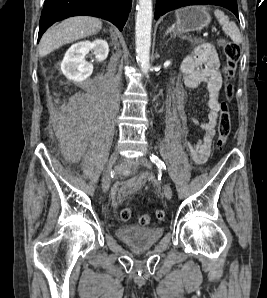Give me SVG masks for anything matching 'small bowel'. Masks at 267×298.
Wrapping results in <instances>:
<instances>
[{
  "label": "small bowel",
  "mask_w": 267,
  "mask_h": 298,
  "mask_svg": "<svg viewBox=\"0 0 267 298\" xmlns=\"http://www.w3.org/2000/svg\"><path fill=\"white\" fill-rule=\"evenodd\" d=\"M220 60L214 46L202 44L194 53L187 56L181 65L184 85L195 89L205 83L207 87V121L197 123L203 131V137L191 146V153L198 164H203L209 158L211 145L215 135V127L220 111L219 92L222 87V76L219 71ZM187 133V129L184 128ZM137 186V183L134 184Z\"/></svg>",
  "instance_id": "1"
}]
</instances>
